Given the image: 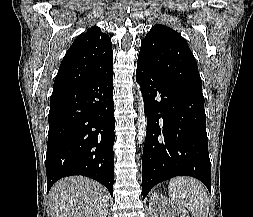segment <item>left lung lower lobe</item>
<instances>
[{
	"mask_svg": "<svg viewBox=\"0 0 253 217\" xmlns=\"http://www.w3.org/2000/svg\"><path fill=\"white\" fill-rule=\"evenodd\" d=\"M147 132L142 158L143 197L153 186L188 175L211 191L204 97L175 85L137 61Z\"/></svg>",
	"mask_w": 253,
	"mask_h": 217,
	"instance_id": "0a47b994",
	"label": "left lung lower lobe"
}]
</instances>
